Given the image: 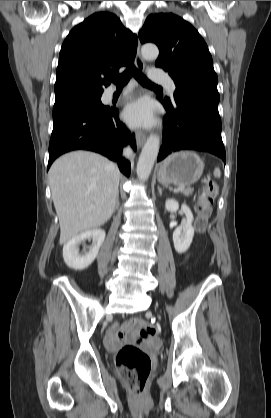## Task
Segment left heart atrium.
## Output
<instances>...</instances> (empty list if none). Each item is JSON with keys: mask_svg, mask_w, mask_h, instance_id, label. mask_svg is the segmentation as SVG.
<instances>
[{"mask_svg": "<svg viewBox=\"0 0 271 418\" xmlns=\"http://www.w3.org/2000/svg\"><path fill=\"white\" fill-rule=\"evenodd\" d=\"M124 119L132 127H148L153 124V112L150 103L141 99L129 104L124 110Z\"/></svg>", "mask_w": 271, "mask_h": 418, "instance_id": "obj_1", "label": "left heart atrium"}]
</instances>
